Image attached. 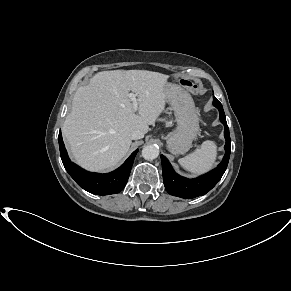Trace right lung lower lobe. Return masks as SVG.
<instances>
[{"instance_id": "1", "label": "right lung lower lobe", "mask_w": 291, "mask_h": 291, "mask_svg": "<svg viewBox=\"0 0 291 291\" xmlns=\"http://www.w3.org/2000/svg\"><path fill=\"white\" fill-rule=\"evenodd\" d=\"M58 140L60 155L65 169L84 190L97 195H109L119 193L125 187L138 149L115 171L99 174L85 171L71 162L62 140L61 131Z\"/></svg>"}]
</instances>
